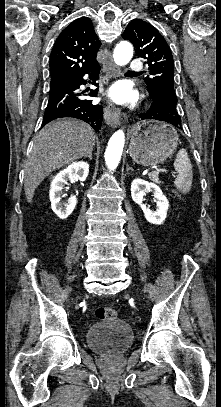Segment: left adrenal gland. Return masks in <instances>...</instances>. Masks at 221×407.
Returning <instances> with one entry per match:
<instances>
[{
	"label": "left adrenal gland",
	"instance_id": "obj_1",
	"mask_svg": "<svg viewBox=\"0 0 221 407\" xmlns=\"http://www.w3.org/2000/svg\"><path fill=\"white\" fill-rule=\"evenodd\" d=\"M130 170L133 171V168L130 167L129 165H127V167H126V172L128 173Z\"/></svg>",
	"mask_w": 221,
	"mask_h": 407
}]
</instances>
